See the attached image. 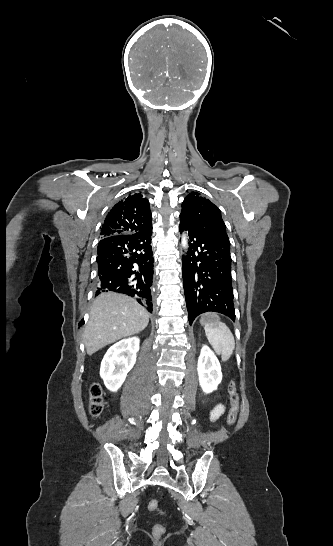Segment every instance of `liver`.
<instances>
[{
  "label": "liver",
  "instance_id": "liver-1",
  "mask_svg": "<svg viewBox=\"0 0 333 546\" xmlns=\"http://www.w3.org/2000/svg\"><path fill=\"white\" fill-rule=\"evenodd\" d=\"M148 322L149 314L134 299L116 293L97 296L83 334L87 354L140 333Z\"/></svg>",
  "mask_w": 333,
  "mask_h": 546
}]
</instances>
